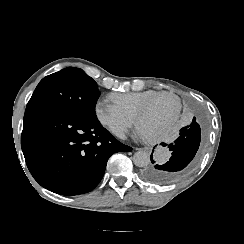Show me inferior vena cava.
I'll list each match as a JSON object with an SVG mask.
<instances>
[{
    "label": "inferior vena cava",
    "mask_w": 244,
    "mask_h": 244,
    "mask_svg": "<svg viewBox=\"0 0 244 244\" xmlns=\"http://www.w3.org/2000/svg\"><path fill=\"white\" fill-rule=\"evenodd\" d=\"M117 136L120 138V139H126V135H125V132L123 130H120L118 133H117Z\"/></svg>",
    "instance_id": "inferior-vena-cava-1"
}]
</instances>
